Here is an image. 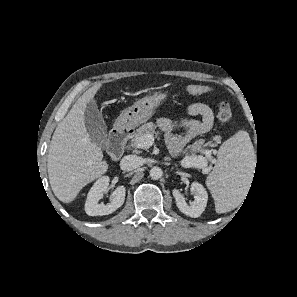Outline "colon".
I'll return each instance as SVG.
<instances>
[{
    "instance_id": "5ec220e1",
    "label": "colon",
    "mask_w": 297,
    "mask_h": 297,
    "mask_svg": "<svg viewBox=\"0 0 297 297\" xmlns=\"http://www.w3.org/2000/svg\"><path fill=\"white\" fill-rule=\"evenodd\" d=\"M186 91L190 95H200L208 92V89L204 86L191 84L187 86ZM217 121L221 123L228 122L232 117L231 106L227 102H221L216 109L215 113Z\"/></svg>"
}]
</instances>
